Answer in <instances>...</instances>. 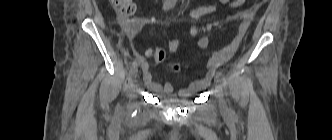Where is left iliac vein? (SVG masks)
<instances>
[{
  "label": "left iliac vein",
  "instance_id": "1",
  "mask_svg": "<svg viewBox=\"0 0 332 140\" xmlns=\"http://www.w3.org/2000/svg\"><path fill=\"white\" fill-rule=\"evenodd\" d=\"M215 82L217 84V87H216V96L219 99V107H220V110L222 112H225L227 110V107H226L225 100L223 98L224 92H223V83H222L221 77L217 75L216 78H215Z\"/></svg>",
  "mask_w": 332,
  "mask_h": 140
}]
</instances>
